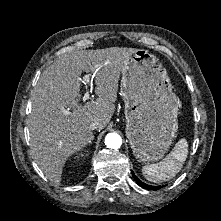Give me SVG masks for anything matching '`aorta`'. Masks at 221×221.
Masks as SVG:
<instances>
[{"label":"aorta","mask_w":221,"mask_h":221,"mask_svg":"<svg viewBox=\"0 0 221 221\" xmlns=\"http://www.w3.org/2000/svg\"><path fill=\"white\" fill-rule=\"evenodd\" d=\"M105 144L108 148L118 149L122 145V139L117 133H108L105 137Z\"/></svg>","instance_id":"762f6f07"}]
</instances>
